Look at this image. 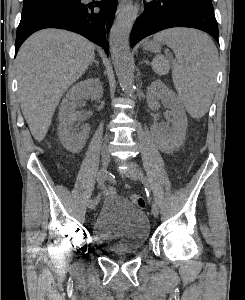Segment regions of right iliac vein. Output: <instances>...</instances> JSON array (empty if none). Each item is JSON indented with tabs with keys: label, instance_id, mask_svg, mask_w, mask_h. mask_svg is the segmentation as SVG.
Listing matches in <instances>:
<instances>
[{
	"label": "right iliac vein",
	"instance_id": "63e3f726",
	"mask_svg": "<svg viewBox=\"0 0 245 300\" xmlns=\"http://www.w3.org/2000/svg\"><path fill=\"white\" fill-rule=\"evenodd\" d=\"M110 155L108 152H104L102 154V158H101V161H102V166L104 169H106L110 163ZM87 206L89 209L93 210L96 205L94 204V200H89L88 203H87Z\"/></svg>",
	"mask_w": 245,
	"mask_h": 300
}]
</instances>
